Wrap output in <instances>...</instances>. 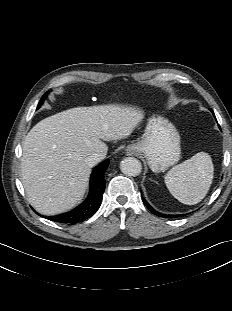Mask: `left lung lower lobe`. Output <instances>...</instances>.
Returning a JSON list of instances; mask_svg holds the SVG:
<instances>
[{
	"mask_svg": "<svg viewBox=\"0 0 232 311\" xmlns=\"http://www.w3.org/2000/svg\"><path fill=\"white\" fill-rule=\"evenodd\" d=\"M211 112L214 114L213 110L210 109ZM215 116V115H214ZM143 202L145 203V205L148 207V209L153 212L155 215L159 216V217H166V218H176V217H179V216H183V215H165V214H161L157 211H155L144 199H143Z\"/></svg>",
	"mask_w": 232,
	"mask_h": 311,
	"instance_id": "1",
	"label": "left lung lower lobe"
}]
</instances>
